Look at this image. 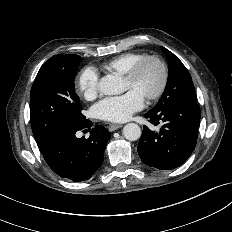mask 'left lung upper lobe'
Listing matches in <instances>:
<instances>
[{
    "label": "left lung upper lobe",
    "instance_id": "obj_1",
    "mask_svg": "<svg viewBox=\"0 0 232 232\" xmlns=\"http://www.w3.org/2000/svg\"><path fill=\"white\" fill-rule=\"evenodd\" d=\"M168 60V81L161 99L153 110H159L179 100L196 102L194 85L190 73L183 63L172 52L161 47Z\"/></svg>",
    "mask_w": 232,
    "mask_h": 232
}]
</instances>
